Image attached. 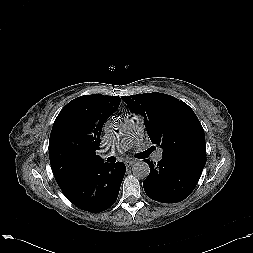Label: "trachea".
I'll return each mask as SVG.
<instances>
[{
	"label": "trachea",
	"mask_w": 253,
	"mask_h": 253,
	"mask_svg": "<svg viewBox=\"0 0 253 253\" xmlns=\"http://www.w3.org/2000/svg\"><path fill=\"white\" fill-rule=\"evenodd\" d=\"M152 150H153V149H151V151H152ZM149 152H150V151H148L147 154H149Z\"/></svg>",
	"instance_id": "1"
}]
</instances>
